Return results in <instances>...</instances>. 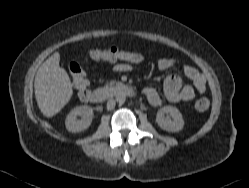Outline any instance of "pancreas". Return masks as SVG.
<instances>
[{
	"mask_svg": "<svg viewBox=\"0 0 249 188\" xmlns=\"http://www.w3.org/2000/svg\"><path fill=\"white\" fill-rule=\"evenodd\" d=\"M114 81H110L109 83L106 84V87H113Z\"/></svg>",
	"mask_w": 249,
	"mask_h": 188,
	"instance_id": "1",
	"label": "pancreas"
}]
</instances>
